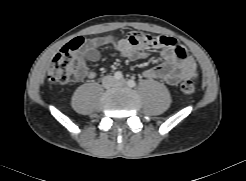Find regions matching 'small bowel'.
Returning a JSON list of instances; mask_svg holds the SVG:
<instances>
[{
	"mask_svg": "<svg viewBox=\"0 0 246 181\" xmlns=\"http://www.w3.org/2000/svg\"><path fill=\"white\" fill-rule=\"evenodd\" d=\"M137 33L132 32L126 38L119 39L114 43L115 50L122 56L129 59L142 58L147 55L144 50V43H133L132 37ZM113 39L110 36H102L87 41L78 51L79 58L90 62H96L100 58L99 48L110 45ZM160 50L163 62L155 67L146 69L143 76L149 79H160L168 85H177L181 81L196 76V63L187 50L173 37L160 36L156 41L147 43ZM82 76L89 78L96 77V73L88 71L83 65Z\"/></svg>",
	"mask_w": 246,
	"mask_h": 181,
	"instance_id": "c3829d8e",
	"label": "small bowel"
}]
</instances>
